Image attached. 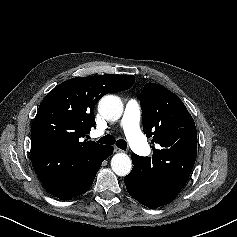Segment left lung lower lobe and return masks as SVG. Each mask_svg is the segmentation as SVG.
Here are the masks:
<instances>
[{
  "mask_svg": "<svg viewBox=\"0 0 237 237\" xmlns=\"http://www.w3.org/2000/svg\"><path fill=\"white\" fill-rule=\"evenodd\" d=\"M131 157L134 167L124 178L128 193L139 203L150 209H155L170 203L180 190H159L156 188V184L153 181L142 179L137 160L133 154Z\"/></svg>",
  "mask_w": 237,
  "mask_h": 237,
  "instance_id": "0a47b994",
  "label": "left lung lower lobe"
}]
</instances>
